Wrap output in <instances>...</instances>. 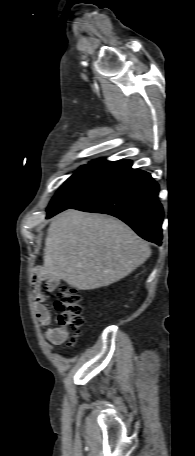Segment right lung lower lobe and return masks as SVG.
Returning a JSON list of instances; mask_svg holds the SVG:
<instances>
[{
    "label": "right lung lower lobe",
    "mask_w": 195,
    "mask_h": 456,
    "mask_svg": "<svg viewBox=\"0 0 195 456\" xmlns=\"http://www.w3.org/2000/svg\"><path fill=\"white\" fill-rule=\"evenodd\" d=\"M158 191L159 186L149 173L130 167L71 208L115 216L142 238L161 245L164 212L157 199ZM52 216L48 214V218Z\"/></svg>",
    "instance_id": "98d812e1"
}]
</instances>
